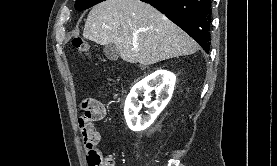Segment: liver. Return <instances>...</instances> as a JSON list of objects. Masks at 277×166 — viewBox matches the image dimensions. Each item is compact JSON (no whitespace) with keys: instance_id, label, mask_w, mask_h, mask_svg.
Segmentation results:
<instances>
[{"instance_id":"obj_1","label":"liver","mask_w":277,"mask_h":166,"mask_svg":"<svg viewBox=\"0 0 277 166\" xmlns=\"http://www.w3.org/2000/svg\"><path fill=\"white\" fill-rule=\"evenodd\" d=\"M83 37L114 44L129 63L151 65L195 53L199 46L182 29L140 0H105L91 9Z\"/></svg>"}]
</instances>
